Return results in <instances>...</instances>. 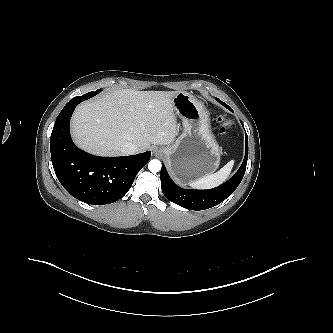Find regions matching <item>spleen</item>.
I'll return each instance as SVG.
<instances>
[{
	"label": "spleen",
	"mask_w": 333,
	"mask_h": 333,
	"mask_svg": "<svg viewBox=\"0 0 333 333\" xmlns=\"http://www.w3.org/2000/svg\"><path fill=\"white\" fill-rule=\"evenodd\" d=\"M233 166L234 160H231L216 173L204 176L197 180L190 181L189 185L197 189L214 188L223 183L228 178Z\"/></svg>",
	"instance_id": "obj_1"
}]
</instances>
